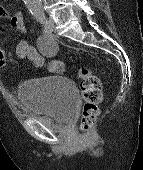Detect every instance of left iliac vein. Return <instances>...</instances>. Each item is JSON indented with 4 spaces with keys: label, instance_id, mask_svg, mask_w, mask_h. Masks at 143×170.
I'll list each match as a JSON object with an SVG mask.
<instances>
[{
    "label": "left iliac vein",
    "instance_id": "left-iliac-vein-1",
    "mask_svg": "<svg viewBox=\"0 0 143 170\" xmlns=\"http://www.w3.org/2000/svg\"><path fill=\"white\" fill-rule=\"evenodd\" d=\"M46 32H52L54 30V20L52 18L47 19Z\"/></svg>",
    "mask_w": 143,
    "mask_h": 170
}]
</instances>
